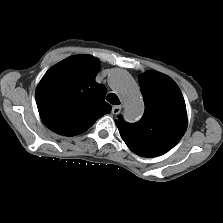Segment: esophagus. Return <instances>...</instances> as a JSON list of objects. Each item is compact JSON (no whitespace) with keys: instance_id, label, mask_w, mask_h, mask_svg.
Wrapping results in <instances>:
<instances>
[{"instance_id":"1","label":"esophagus","mask_w":223,"mask_h":223,"mask_svg":"<svg viewBox=\"0 0 223 223\" xmlns=\"http://www.w3.org/2000/svg\"><path fill=\"white\" fill-rule=\"evenodd\" d=\"M121 109H122L121 106L116 105V106H113V107H112V110H111V111H112V113H113L114 115H117V114L120 113Z\"/></svg>"}]
</instances>
